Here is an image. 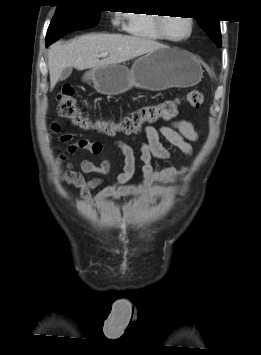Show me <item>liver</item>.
Masks as SVG:
<instances>
[{"instance_id":"obj_1","label":"liver","mask_w":261,"mask_h":355,"mask_svg":"<svg viewBox=\"0 0 261 355\" xmlns=\"http://www.w3.org/2000/svg\"><path fill=\"white\" fill-rule=\"evenodd\" d=\"M160 47L163 45L154 40L122 34H87L66 44L57 42L48 51L50 89L55 87L67 67L81 71L118 64ZM102 52H107L108 56L100 60Z\"/></svg>"}]
</instances>
